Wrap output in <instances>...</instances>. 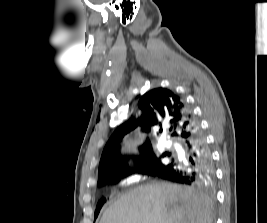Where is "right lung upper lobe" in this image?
Instances as JSON below:
<instances>
[{"label":"right lung upper lobe","instance_id":"cb5924a9","mask_svg":"<svg viewBox=\"0 0 267 223\" xmlns=\"http://www.w3.org/2000/svg\"><path fill=\"white\" fill-rule=\"evenodd\" d=\"M141 115L137 119L130 120L120 125L108 140L99 164L98 177L101 178L109 169L124 167L128 171V164L118 151L122 139L141 128L143 132L149 133L153 128H166L181 141L185 142L195 135L197 122L183 99L175 92L166 88H156L145 93L138 102ZM141 156L153 153L150 140L139 147Z\"/></svg>","mask_w":267,"mask_h":223}]
</instances>
